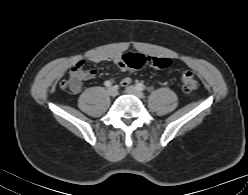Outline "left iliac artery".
<instances>
[{"instance_id":"44dca946","label":"left iliac artery","mask_w":248,"mask_h":195,"mask_svg":"<svg viewBox=\"0 0 248 195\" xmlns=\"http://www.w3.org/2000/svg\"><path fill=\"white\" fill-rule=\"evenodd\" d=\"M136 88L138 89V90H141V91H143V90H145V85H143L142 83H138V84H136Z\"/></svg>"}]
</instances>
